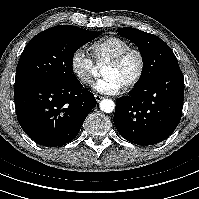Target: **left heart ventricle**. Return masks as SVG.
<instances>
[{
	"label": "left heart ventricle",
	"instance_id": "obj_1",
	"mask_svg": "<svg viewBox=\"0 0 199 199\" xmlns=\"http://www.w3.org/2000/svg\"><path fill=\"white\" fill-rule=\"evenodd\" d=\"M138 58L136 55H130L126 61L117 68L106 66L103 71L104 77H114L122 85L129 81L138 70Z\"/></svg>",
	"mask_w": 199,
	"mask_h": 199
}]
</instances>
